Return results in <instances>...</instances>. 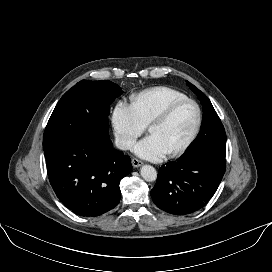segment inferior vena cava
Here are the masks:
<instances>
[{
    "mask_svg": "<svg viewBox=\"0 0 272 272\" xmlns=\"http://www.w3.org/2000/svg\"><path fill=\"white\" fill-rule=\"evenodd\" d=\"M115 145L118 149L121 150H128L133 146V143L129 140H126L124 138H116L115 139Z\"/></svg>",
    "mask_w": 272,
    "mask_h": 272,
    "instance_id": "1",
    "label": "inferior vena cava"
}]
</instances>
